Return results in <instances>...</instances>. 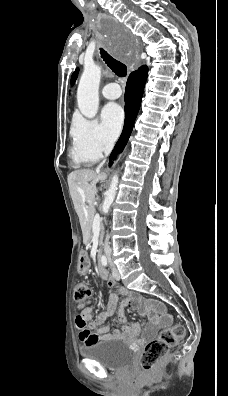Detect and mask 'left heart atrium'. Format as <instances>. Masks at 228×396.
Wrapping results in <instances>:
<instances>
[{"label": "left heart atrium", "instance_id": "39dd6f15", "mask_svg": "<svg viewBox=\"0 0 228 396\" xmlns=\"http://www.w3.org/2000/svg\"><path fill=\"white\" fill-rule=\"evenodd\" d=\"M102 126L106 136L110 140H115L124 122V111L116 103L107 104L101 113Z\"/></svg>", "mask_w": 228, "mask_h": 396}]
</instances>
